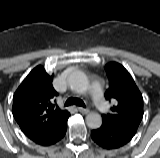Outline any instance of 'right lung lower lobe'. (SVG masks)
<instances>
[{"mask_svg":"<svg viewBox=\"0 0 160 158\" xmlns=\"http://www.w3.org/2000/svg\"><path fill=\"white\" fill-rule=\"evenodd\" d=\"M67 120L57 130H55V131H53V132H51V133H49V134H47L43 137H40V138L34 140V142L36 144H39V145H42V146H49V145H53L56 142L60 141L66 134Z\"/></svg>","mask_w":160,"mask_h":158,"instance_id":"1","label":"right lung lower lobe"}]
</instances>
